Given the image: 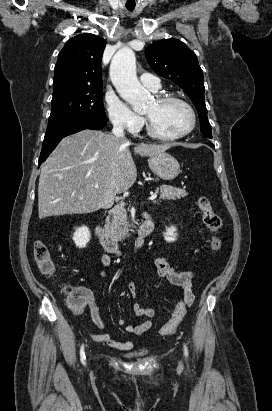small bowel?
Instances as JSON below:
<instances>
[{
  "label": "small bowel",
  "instance_id": "c3829d8e",
  "mask_svg": "<svg viewBox=\"0 0 272 411\" xmlns=\"http://www.w3.org/2000/svg\"><path fill=\"white\" fill-rule=\"evenodd\" d=\"M102 262L105 266H109L111 264V259L108 254H104L102 256ZM151 265L153 266L157 275L160 278H163L169 283L180 287L183 291L184 297L191 298V305L193 304L195 299V296L192 291L193 277L195 274L194 271L178 270L161 255L153 259L151 261ZM100 274L102 276H105L104 271H101ZM128 287L132 297L136 298L137 292L134 282L130 281L128 283ZM88 308L90 311L92 322L99 330L103 331L105 329V323L100 315L97 305L95 304L91 296H89ZM133 312L138 317H146L148 319L137 325L126 326L127 333L136 336H141L154 327V323L151 320V318H153L156 315V310L154 308L144 307L139 303H135L133 305ZM117 324L119 326H124L126 324V320L124 318H119L117 320ZM90 338L95 342L106 343L109 347L115 348L120 351H130L134 348L135 345L133 340H115L114 338H112L110 334L104 332L91 333Z\"/></svg>",
  "mask_w": 272,
  "mask_h": 411
}]
</instances>
